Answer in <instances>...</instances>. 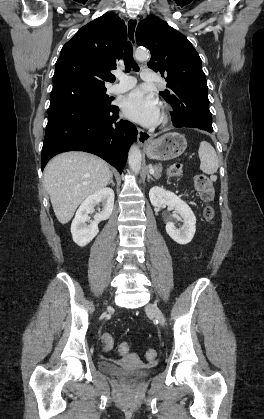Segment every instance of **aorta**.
I'll use <instances>...</instances> for the list:
<instances>
[{
	"label": "aorta",
	"mask_w": 264,
	"mask_h": 419,
	"mask_svg": "<svg viewBox=\"0 0 264 419\" xmlns=\"http://www.w3.org/2000/svg\"><path fill=\"white\" fill-rule=\"evenodd\" d=\"M135 58L138 61H145L149 58V54L148 51L146 50H142V49H138L135 52ZM141 151L140 149L133 145L131 146L130 150H129V154H128V163H129V167L130 169L135 173L138 174L141 170Z\"/></svg>",
	"instance_id": "1"
}]
</instances>
